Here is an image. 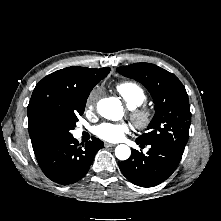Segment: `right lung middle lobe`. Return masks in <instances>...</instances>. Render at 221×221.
<instances>
[{"instance_id":"dd1d6c3e","label":"right lung middle lobe","mask_w":221,"mask_h":221,"mask_svg":"<svg viewBox=\"0 0 221 221\" xmlns=\"http://www.w3.org/2000/svg\"><path fill=\"white\" fill-rule=\"evenodd\" d=\"M87 98L80 99L76 104L66 110L63 119L55 127L59 139L72 136L70 130L76 126L78 116L83 114Z\"/></svg>"}]
</instances>
